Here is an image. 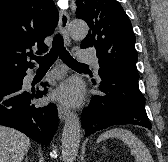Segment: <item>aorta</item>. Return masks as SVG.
Masks as SVG:
<instances>
[{
	"label": "aorta",
	"instance_id": "aorta-1",
	"mask_svg": "<svg viewBox=\"0 0 168 162\" xmlns=\"http://www.w3.org/2000/svg\"><path fill=\"white\" fill-rule=\"evenodd\" d=\"M70 35L83 38L88 33V26L84 21L75 20L69 25ZM81 139V124L78 115L71 113L65 121L62 133V157L64 162H73L78 154Z\"/></svg>",
	"mask_w": 168,
	"mask_h": 162
}]
</instances>
